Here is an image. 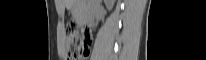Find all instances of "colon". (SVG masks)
<instances>
[{
  "mask_svg": "<svg viewBox=\"0 0 206 60\" xmlns=\"http://www.w3.org/2000/svg\"><path fill=\"white\" fill-rule=\"evenodd\" d=\"M67 56L69 60H80L88 52L90 36L80 33L75 24H69L66 29Z\"/></svg>",
  "mask_w": 206,
  "mask_h": 60,
  "instance_id": "1",
  "label": "colon"
}]
</instances>
